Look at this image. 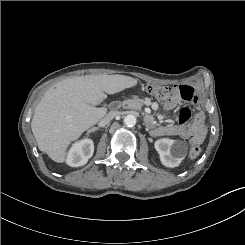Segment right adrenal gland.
I'll use <instances>...</instances> for the list:
<instances>
[{
	"mask_svg": "<svg viewBox=\"0 0 245 245\" xmlns=\"http://www.w3.org/2000/svg\"><path fill=\"white\" fill-rule=\"evenodd\" d=\"M99 128H97V127H93V128H91L90 130H88V134L89 133H91V132H94L95 130H98Z\"/></svg>",
	"mask_w": 245,
	"mask_h": 245,
	"instance_id": "obj_1",
	"label": "right adrenal gland"
}]
</instances>
